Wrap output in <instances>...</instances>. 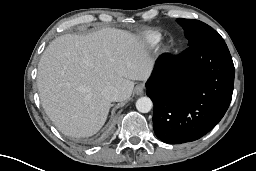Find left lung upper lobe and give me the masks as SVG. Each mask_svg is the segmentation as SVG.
Segmentation results:
<instances>
[{"instance_id":"left-lung-upper-lobe-1","label":"left lung upper lobe","mask_w":256,"mask_h":171,"mask_svg":"<svg viewBox=\"0 0 256 171\" xmlns=\"http://www.w3.org/2000/svg\"><path fill=\"white\" fill-rule=\"evenodd\" d=\"M177 22L185 30L189 46L202 42H222V37L207 24L193 19L178 18Z\"/></svg>"}]
</instances>
